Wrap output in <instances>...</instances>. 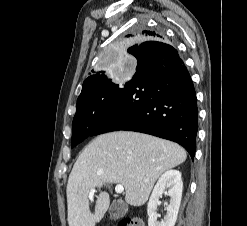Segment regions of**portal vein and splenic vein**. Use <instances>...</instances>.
<instances>
[{"instance_id":"1","label":"portal vein and splenic vein","mask_w":247,"mask_h":226,"mask_svg":"<svg viewBox=\"0 0 247 226\" xmlns=\"http://www.w3.org/2000/svg\"><path fill=\"white\" fill-rule=\"evenodd\" d=\"M123 191H124L123 185H116V187H115V192L116 193L120 194V193H123ZM94 193H95V189H91L90 193H89V199L93 198Z\"/></svg>"}]
</instances>
